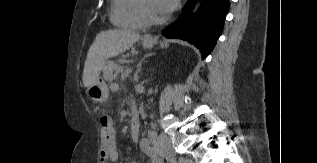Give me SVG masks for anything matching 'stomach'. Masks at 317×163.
Returning <instances> with one entry per match:
<instances>
[{
	"label": "stomach",
	"mask_w": 317,
	"mask_h": 163,
	"mask_svg": "<svg viewBox=\"0 0 317 163\" xmlns=\"http://www.w3.org/2000/svg\"><path fill=\"white\" fill-rule=\"evenodd\" d=\"M142 45L144 48H150L152 46L151 43L146 42H143ZM86 93L94 103H103L109 96L108 87L102 79H98L94 85L88 87Z\"/></svg>",
	"instance_id": "0dacf381"
}]
</instances>
